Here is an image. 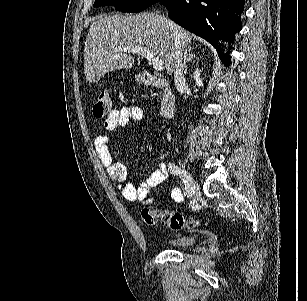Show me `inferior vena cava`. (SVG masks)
Here are the masks:
<instances>
[{"instance_id": "602c4592", "label": "inferior vena cava", "mask_w": 307, "mask_h": 301, "mask_svg": "<svg viewBox=\"0 0 307 301\" xmlns=\"http://www.w3.org/2000/svg\"><path fill=\"white\" fill-rule=\"evenodd\" d=\"M173 28V24H169ZM173 70H174V84L178 92H182V88L185 84L183 66H182V50L181 46L176 44L174 48V54L172 56Z\"/></svg>"}]
</instances>
